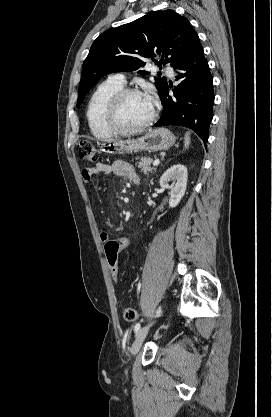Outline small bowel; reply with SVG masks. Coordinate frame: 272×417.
I'll use <instances>...</instances> for the list:
<instances>
[{"mask_svg": "<svg viewBox=\"0 0 272 417\" xmlns=\"http://www.w3.org/2000/svg\"><path fill=\"white\" fill-rule=\"evenodd\" d=\"M97 174H114L116 176L128 179L134 183L138 180L137 173L133 165L124 160H117L112 164L97 163L95 166L87 167L82 170V178L86 183H89L93 176ZM111 238L112 234L109 232H100V239L102 242H106Z\"/></svg>", "mask_w": 272, "mask_h": 417, "instance_id": "c3829d8e", "label": "small bowel"}]
</instances>
